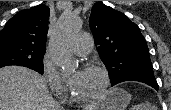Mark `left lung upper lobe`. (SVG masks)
<instances>
[{"instance_id": "obj_1", "label": "left lung upper lobe", "mask_w": 171, "mask_h": 110, "mask_svg": "<svg viewBox=\"0 0 171 110\" xmlns=\"http://www.w3.org/2000/svg\"><path fill=\"white\" fill-rule=\"evenodd\" d=\"M89 24L111 85L128 79H155L146 40L128 17L98 1Z\"/></svg>"}]
</instances>
